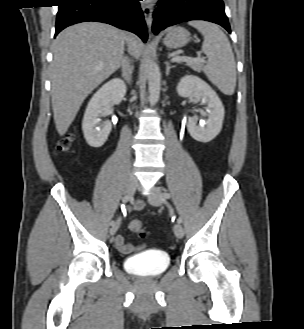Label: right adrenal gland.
<instances>
[{"instance_id":"1","label":"right adrenal gland","mask_w":304,"mask_h":329,"mask_svg":"<svg viewBox=\"0 0 304 329\" xmlns=\"http://www.w3.org/2000/svg\"><path fill=\"white\" fill-rule=\"evenodd\" d=\"M130 72H132V65L129 66Z\"/></svg>"}]
</instances>
